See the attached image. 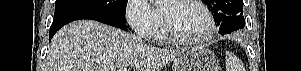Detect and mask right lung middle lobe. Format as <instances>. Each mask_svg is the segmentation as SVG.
Listing matches in <instances>:
<instances>
[{
    "label": "right lung middle lobe",
    "mask_w": 301,
    "mask_h": 71,
    "mask_svg": "<svg viewBox=\"0 0 301 71\" xmlns=\"http://www.w3.org/2000/svg\"><path fill=\"white\" fill-rule=\"evenodd\" d=\"M127 0H56L54 17L73 11L93 10L114 16L125 23Z\"/></svg>",
    "instance_id": "dd1d6c3e"
}]
</instances>
